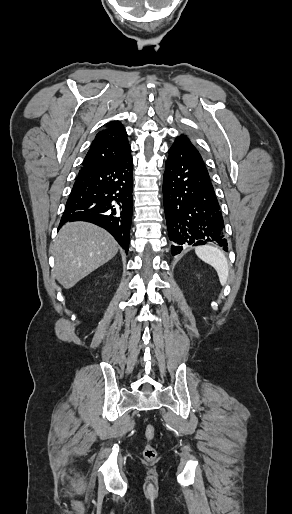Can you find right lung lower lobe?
<instances>
[{"label": "right lung lower lobe", "instance_id": "1", "mask_svg": "<svg viewBox=\"0 0 292 514\" xmlns=\"http://www.w3.org/2000/svg\"><path fill=\"white\" fill-rule=\"evenodd\" d=\"M131 153L101 166H82L67 200L59 228L86 221L111 233L128 252L133 211Z\"/></svg>", "mask_w": 292, "mask_h": 514}]
</instances>
